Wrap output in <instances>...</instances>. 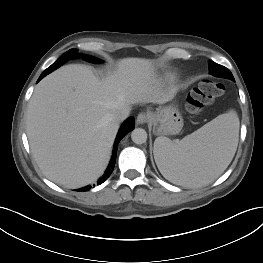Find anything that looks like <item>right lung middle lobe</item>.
Masks as SVG:
<instances>
[{
  "instance_id": "dd1d6c3e",
  "label": "right lung middle lobe",
  "mask_w": 263,
  "mask_h": 263,
  "mask_svg": "<svg viewBox=\"0 0 263 263\" xmlns=\"http://www.w3.org/2000/svg\"><path fill=\"white\" fill-rule=\"evenodd\" d=\"M77 49H70L68 52H66L64 55H62L60 58L62 60H65L67 61L68 59L70 58H74V57H82L84 60L88 61V62H91V63H98L99 60L96 59V58H93L91 56H88V55H79L77 53Z\"/></svg>"
}]
</instances>
